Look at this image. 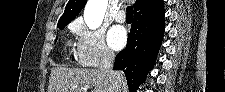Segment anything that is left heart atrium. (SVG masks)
<instances>
[{
    "mask_svg": "<svg viewBox=\"0 0 225 92\" xmlns=\"http://www.w3.org/2000/svg\"><path fill=\"white\" fill-rule=\"evenodd\" d=\"M127 41V35L124 28L115 26L110 29L108 34V43L114 50L123 48Z\"/></svg>",
    "mask_w": 225,
    "mask_h": 92,
    "instance_id": "1",
    "label": "left heart atrium"
}]
</instances>
